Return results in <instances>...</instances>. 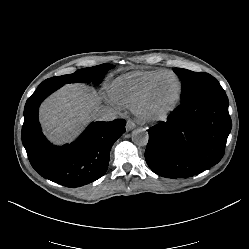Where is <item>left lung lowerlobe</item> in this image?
Masks as SVG:
<instances>
[{
    "mask_svg": "<svg viewBox=\"0 0 249 249\" xmlns=\"http://www.w3.org/2000/svg\"><path fill=\"white\" fill-rule=\"evenodd\" d=\"M223 89L195 95L148 130L145 159L167 178H187L217 164L224 155L232 122Z\"/></svg>",
    "mask_w": 249,
    "mask_h": 249,
    "instance_id": "left-lung-lower-lobe-1",
    "label": "left lung lower lobe"
}]
</instances>
